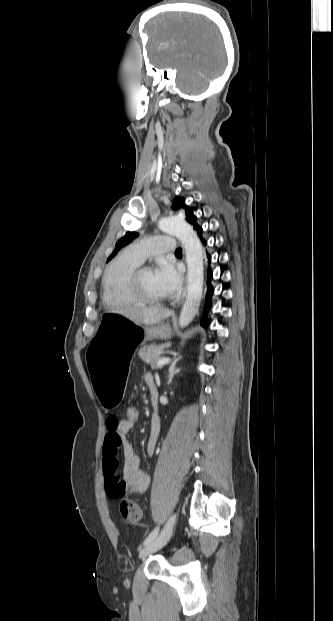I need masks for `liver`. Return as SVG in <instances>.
<instances>
[{
	"label": "liver",
	"instance_id": "1",
	"mask_svg": "<svg viewBox=\"0 0 333 621\" xmlns=\"http://www.w3.org/2000/svg\"><path fill=\"white\" fill-rule=\"evenodd\" d=\"M120 313L129 320L141 325H154L171 315V310L164 307H150L143 309L130 308Z\"/></svg>",
	"mask_w": 333,
	"mask_h": 621
}]
</instances>
